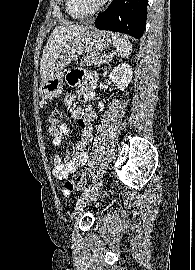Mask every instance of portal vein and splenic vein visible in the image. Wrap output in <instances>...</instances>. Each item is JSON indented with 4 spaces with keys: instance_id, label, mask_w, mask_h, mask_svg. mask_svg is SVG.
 <instances>
[{
    "instance_id": "1",
    "label": "portal vein and splenic vein",
    "mask_w": 195,
    "mask_h": 270,
    "mask_svg": "<svg viewBox=\"0 0 195 270\" xmlns=\"http://www.w3.org/2000/svg\"><path fill=\"white\" fill-rule=\"evenodd\" d=\"M108 58H112V54L107 55Z\"/></svg>"
}]
</instances>
